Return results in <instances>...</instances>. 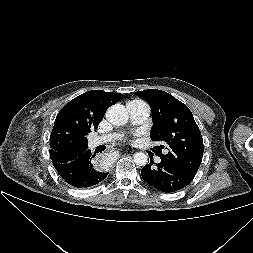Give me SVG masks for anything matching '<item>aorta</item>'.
Returning <instances> with one entry per match:
<instances>
[{
	"label": "aorta",
	"instance_id": "obj_1",
	"mask_svg": "<svg viewBox=\"0 0 253 253\" xmlns=\"http://www.w3.org/2000/svg\"><path fill=\"white\" fill-rule=\"evenodd\" d=\"M106 119L115 126H122L127 123L128 113L126 108L121 104L111 105L106 111ZM133 160L138 166H145L148 162V157L143 152L134 154Z\"/></svg>",
	"mask_w": 253,
	"mask_h": 253
}]
</instances>
